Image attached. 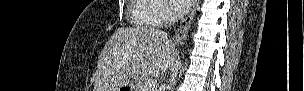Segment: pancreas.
<instances>
[{
    "mask_svg": "<svg viewBox=\"0 0 304 91\" xmlns=\"http://www.w3.org/2000/svg\"><path fill=\"white\" fill-rule=\"evenodd\" d=\"M146 80H148L147 77H139L137 79V82H136L135 90L136 91H143L144 82Z\"/></svg>",
    "mask_w": 304,
    "mask_h": 91,
    "instance_id": "obj_1",
    "label": "pancreas"
}]
</instances>
